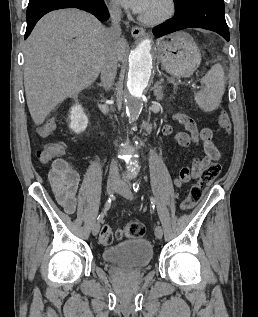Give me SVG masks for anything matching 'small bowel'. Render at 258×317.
I'll use <instances>...</instances> for the list:
<instances>
[{"instance_id":"obj_1","label":"small bowel","mask_w":258,"mask_h":317,"mask_svg":"<svg viewBox=\"0 0 258 317\" xmlns=\"http://www.w3.org/2000/svg\"><path fill=\"white\" fill-rule=\"evenodd\" d=\"M173 119L182 124L187 131L174 135L178 145L182 147L201 145L202 147V154L197 156L190 166L181 168L174 179L175 185L181 186L198 178L208 164L219 160L220 152L213 141V131L210 128L198 130L195 121L185 114H176ZM55 126L54 119L50 118L38 127V134L41 137H47L55 130ZM172 132L170 124H166L162 128L164 136H170ZM49 181L58 203L68 214H73L76 211L80 188V175L77 169L65 159H55L49 173Z\"/></svg>"}]
</instances>
